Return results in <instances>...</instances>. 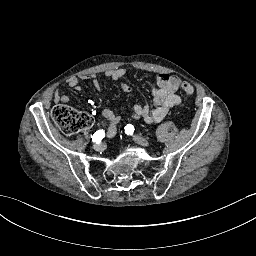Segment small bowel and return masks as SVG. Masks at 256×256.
Instances as JSON below:
<instances>
[{"label":"small bowel","instance_id":"1","mask_svg":"<svg viewBox=\"0 0 256 256\" xmlns=\"http://www.w3.org/2000/svg\"><path fill=\"white\" fill-rule=\"evenodd\" d=\"M126 75L124 68H116L105 72V76L112 80H120ZM91 80L93 86L100 90V83L94 74L82 75L81 77L71 78L68 81V87L81 91L80 80ZM179 78L177 76L161 73L157 77V87L152 90L153 106L148 104H136L133 107L132 118L142 119L146 123H158L164 119L169 109L175 107L181 103L180 96L176 93L179 86ZM121 89L124 92L131 91L132 87L129 84H121ZM53 101L56 104H65L70 101V96L61 95L56 93L53 97ZM101 117L108 123V127L105 131V136L113 137L117 132V125L120 122V117L116 115L110 109H104L101 112Z\"/></svg>","mask_w":256,"mask_h":256}]
</instances>
